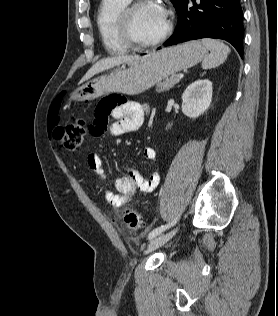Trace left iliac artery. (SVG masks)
Masks as SVG:
<instances>
[{"instance_id":"1","label":"left iliac artery","mask_w":278,"mask_h":316,"mask_svg":"<svg viewBox=\"0 0 278 316\" xmlns=\"http://www.w3.org/2000/svg\"><path fill=\"white\" fill-rule=\"evenodd\" d=\"M174 223H176V219L174 221H172L171 223L167 224V225H162L160 227H157L155 229H153L149 235H148V239H153L156 236H158L159 234H161L163 231H165L167 228H169L170 226L174 225Z\"/></svg>"}]
</instances>
